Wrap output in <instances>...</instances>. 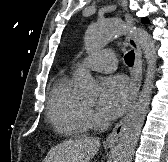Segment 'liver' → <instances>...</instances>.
<instances>
[{"label":"liver","mask_w":168,"mask_h":162,"mask_svg":"<svg viewBox=\"0 0 168 162\" xmlns=\"http://www.w3.org/2000/svg\"><path fill=\"white\" fill-rule=\"evenodd\" d=\"M99 148L98 138L70 139L52 147L43 162H89Z\"/></svg>","instance_id":"liver-1"}]
</instances>
